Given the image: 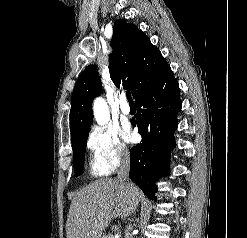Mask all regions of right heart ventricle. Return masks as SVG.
<instances>
[{
	"label": "right heart ventricle",
	"instance_id": "right-heart-ventricle-1",
	"mask_svg": "<svg viewBox=\"0 0 247 238\" xmlns=\"http://www.w3.org/2000/svg\"><path fill=\"white\" fill-rule=\"evenodd\" d=\"M89 171L91 175L96 177L103 176L108 173L94 159L89 162Z\"/></svg>",
	"mask_w": 247,
	"mask_h": 238
}]
</instances>
